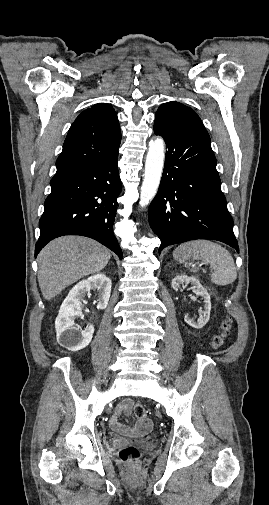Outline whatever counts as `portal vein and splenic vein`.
Wrapping results in <instances>:
<instances>
[{"label": "portal vein and splenic vein", "instance_id": "18ae733b", "mask_svg": "<svg viewBox=\"0 0 269 505\" xmlns=\"http://www.w3.org/2000/svg\"><path fill=\"white\" fill-rule=\"evenodd\" d=\"M204 264H205V263H201L199 266H202V265H204Z\"/></svg>", "mask_w": 269, "mask_h": 505}]
</instances>
